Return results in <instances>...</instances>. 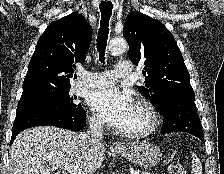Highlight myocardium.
Returning a JSON list of instances; mask_svg holds the SVG:
<instances>
[{
    "label": "myocardium",
    "instance_id": "1",
    "mask_svg": "<svg viewBox=\"0 0 224 174\" xmlns=\"http://www.w3.org/2000/svg\"><path fill=\"white\" fill-rule=\"evenodd\" d=\"M136 106L140 107L146 113L149 122L148 125L141 130L132 132L122 131V135L126 138L138 139L149 136L156 131L159 125V115L152 103L145 99H140L136 102Z\"/></svg>",
    "mask_w": 224,
    "mask_h": 174
}]
</instances>
